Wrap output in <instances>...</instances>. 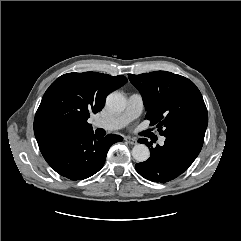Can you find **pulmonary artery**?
<instances>
[{
	"instance_id": "pulmonary-artery-1",
	"label": "pulmonary artery",
	"mask_w": 241,
	"mask_h": 241,
	"mask_svg": "<svg viewBox=\"0 0 241 241\" xmlns=\"http://www.w3.org/2000/svg\"><path fill=\"white\" fill-rule=\"evenodd\" d=\"M143 110V99L140 94H131L127 101L126 109L108 118H99L93 122L94 127L106 130H117L125 127L128 123L140 116ZM164 137H160L159 142L163 144Z\"/></svg>"
}]
</instances>
